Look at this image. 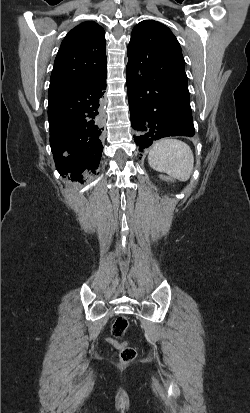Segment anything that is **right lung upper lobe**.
<instances>
[{
	"mask_svg": "<svg viewBox=\"0 0 250 413\" xmlns=\"http://www.w3.org/2000/svg\"><path fill=\"white\" fill-rule=\"evenodd\" d=\"M104 35L94 21L83 22L66 35L54 62L49 91L88 82L106 71Z\"/></svg>",
	"mask_w": 250,
	"mask_h": 413,
	"instance_id": "1",
	"label": "right lung upper lobe"
}]
</instances>
